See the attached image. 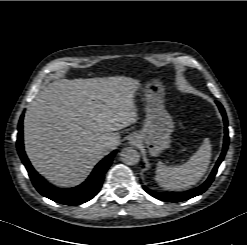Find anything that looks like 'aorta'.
Here are the masks:
<instances>
[{
	"instance_id": "1",
	"label": "aorta",
	"mask_w": 247,
	"mask_h": 245,
	"mask_svg": "<svg viewBox=\"0 0 247 245\" xmlns=\"http://www.w3.org/2000/svg\"><path fill=\"white\" fill-rule=\"evenodd\" d=\"M121 161L126 165H136L139 163V152L132 147H125L120 152Z\"/></svg>"
}]
</instances>
